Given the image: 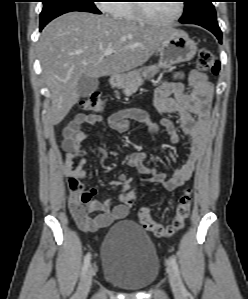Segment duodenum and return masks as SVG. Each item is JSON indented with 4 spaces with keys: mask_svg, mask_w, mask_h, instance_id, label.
I'll list each match as a JSON object with an SVG mask.
<instances>
[{
    "mask_svg": "<svg viewBox=\"0 0 248 299\" xmlns=\"http://www.w3.org/2000/svg\"><path fill=\"white\" fill-rule=\"evenodd\" d=\"M120 82V78L118 76H114L112 79H111V83L112 85H117L119 84Z\"/></svg>",
    "mask_w": 248,
    "mask_h": 299,
    "instance_id": "obj_1",
    "label": "duodenum"
}]
</instances>
